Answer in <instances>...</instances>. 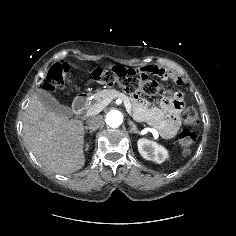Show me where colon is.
<instances>
[{
  "label": "colon",
  "mask_w": 236,
  "mask_h": 236,
  "mask_svg": "<svg viewBox=\"0 0 236 236\" xmlns=\"http://www.w3.org/2000/svg\"><path fill=\"white\" fill-rule=\"evenodd\" d=\"M119 66L108 68H97L90 74V81L92 83L103 85L118 84L125 92L132 96L144 95L147 97L160 96L170 102L180 100L179 94L167 83H163L158 79H130L127 76L122 77L118 74ZM69 67L64 63L54 64L47 75L46 81L43 85L44 90L48 92H56L63 89L68 83ZM183 122L186 125H196L199 123V114L194 106H189L182 114ZM198 136L195 132L185 129L179 135V145L182 153L188 155L193 146L196 144Z\"/></svg>",
  "instance_id": "1"
}]
</instances>
